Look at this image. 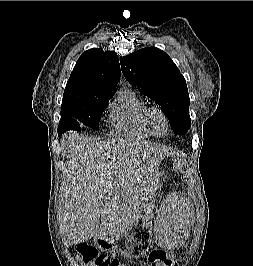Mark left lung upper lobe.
I'll list each match as a JSON object with an SVG mask.
<instances>
[{
	"label": "left lung upper lobe",
	"instance_id": "left-lung-upper-lobe-1",
	"mask_svg": "<svg viewBox=\"0 0 253 266\" xmlns=\"http://www.w3.org/2000/svg\"><path fill=\"white\" fill-rule=\"evenodd\" d=\"M121 70L132 86L161 106L174 133L190 129L186 80L164 51L147 47L121 57Z\"/></svg>",
	"mask_w": 253,
	"mask_h": 266
}]
</instances>
